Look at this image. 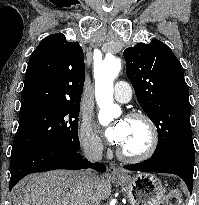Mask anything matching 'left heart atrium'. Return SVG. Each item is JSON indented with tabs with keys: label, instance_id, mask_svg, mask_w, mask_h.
Listing matches in <instances>:
<instances>
[{
	"label": "left heart atrium",
	"instance_id": "left-heart-atrium-1",
	"mask_svg": "<svg viewBox=\"0 0 199 205\" xmlns=\"http://www.w3.org/2000/svg\"><path fill=\"white\" fill-rule=\"evenodd\" d=\"M127 131L126 121L120 120L106 129L105 136L110 143L121 144Z\"/></svg>",
	"mask_w": 199,
	"mask_h": 205
}]
</instances>
